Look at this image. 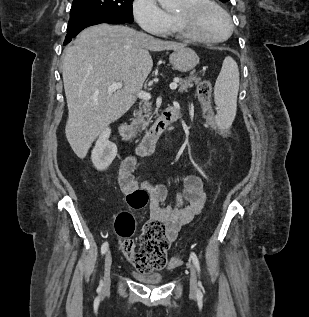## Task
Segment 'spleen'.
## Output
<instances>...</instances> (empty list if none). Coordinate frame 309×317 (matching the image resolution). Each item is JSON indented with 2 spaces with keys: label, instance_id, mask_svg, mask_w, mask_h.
Masks as SVG:
<instances>
[{
  "label": "spleen",
  "instance_id": "3e777b00",
  "mask_svg": "<svg viewBox=\"0 0 309 317\" xmlns=\"http://www.w3.org/2000/svg\"><path fill=\"white\" fill-rule=\"evenodd\" d=\"M238 91V65L233 58L228 56L223 61L214 88V100L218 107L215 119L219 127L231 126L236 115Z\"/></svg>",
  "mask_w": 309,
  "mask_h": 317
}]
</instances>
